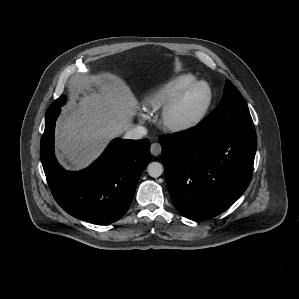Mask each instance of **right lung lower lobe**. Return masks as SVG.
I'll return each mask as SVG.
<instances>
[{
	"label": "right lung lower lobe",
	"mask_w": 299,
	"mask_h": 299,
	"mask_svg": "<svg viewBox=\"0 0 299 299\" xmlns=\"http://www.w3.org/2000/svg\"><path fill=\"white\" fill-rule=\"evenodd\" d=\"M61 106L49 107L40 156L56 202L70 215L95 224L119 220L128 210L137 182L151 160L150 142L114 139L80 172L65 171L54 155L55 121Z\"/></svg>",
	"instance_id": "obj_1"
}]
</instances>
